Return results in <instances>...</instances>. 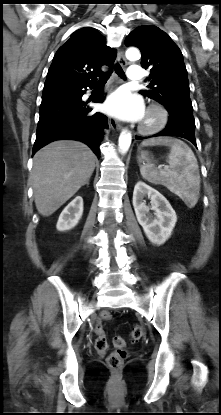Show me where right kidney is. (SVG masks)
Returning <instances> with one entry per match:
<instances>
[{
    "mask_svg": "<svg viewBox=\"0 0 221 415\" xmlns=\"http://www.w3.org/2000/svg\"><path fill=\"white\" fill-rule=\"evenodd\" d=\"M83 214V199L77 196L61 212L56 228L59 231H66L74 228Z\"/></svg>",
    "mask_w": 221,
    "mask_h": 415,
    "instance_id": "ca27d5eb",
    "label": "right kidney"
}]
</instances>
